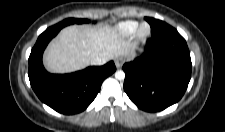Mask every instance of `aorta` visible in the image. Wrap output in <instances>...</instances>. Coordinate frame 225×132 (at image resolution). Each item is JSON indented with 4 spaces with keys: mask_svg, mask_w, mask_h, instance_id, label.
<instances>
[{
    "mask_svg": "<svg viewBox=\"0 0 225 132\" xmlns=\"http://www.w3.org/2000/svg\"><path fill=\"white\" fill-rule=\"evenodd\" d=\"M115 78L117 80H124L125 79V73L122 70H118L115 72Z\"/></svg>",
    "mask_w": 225,
    "mask_h": 132,
    "instance_id": "762f6f07",
    "label": "aorta"
}]
</instances>
